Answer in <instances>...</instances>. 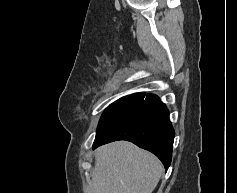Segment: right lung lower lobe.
Returning a JSON list of instances; mask_svg holds the SVG:
<instances>
[{"mask_svg":"<svg viewBox=\"0 0 237 193\" xmlns=\"http://www.w3.org/2000/svg\"><path fill=\"white\" fill-rule=\"evenodd\" d=\"M174 129L167 107L157 95L135 93L103 113L93 144L131 141L155 154L167 170L171 163Z\"/></svg>","mask_w":237,"mask_h":193,"instance_id":"obj_1","label":"right lung lower lobe"}]
</instances>
